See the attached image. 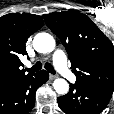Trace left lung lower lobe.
Segmentation results:
<instances>
[{
	"label": "left lung lower lobe",
	"instance_id": "obj_1",
	"mask_svg": "<svg viewBox=\"0 0 114 114\" xmlns=\"http://www.w3.org/2000/svg\"><path fill=\"white\" fill-rule=\"evenodd\" d=\"M113 92L92 85L75 82L69 92L58 97V105L66 114H100Z\"/></svg>",
	"mask_w": 114,
	"mask_h": 114
}]
</instances>
